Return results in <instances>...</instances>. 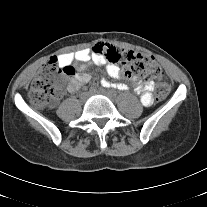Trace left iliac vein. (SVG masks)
I'll use <instances>...</instances> for the list:
<instances>
[{"instance_id":"obj_1","label":"left iliac vein","mask_w":207,"mask_h":207,"mask_svg":"<svg viewBox=\"0 0 207 207\" xmlns=\"http://www.w3.org/2000/svg\"><path fill=\"white\" fill-rule=\"evenodd\" d=\"M94 93L105 95L111 99H113L117 94V92L114 89L105 90L103 88H100L98 91L96 90L90 91V94H94Z\"/></svg>"}]
</instances>
